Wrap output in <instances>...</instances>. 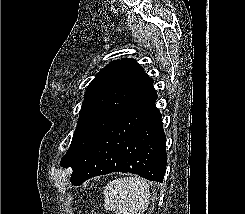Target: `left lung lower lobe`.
<instances>
[{
    "label": "left lung lower lobe",
    "mask_w": 245,
    "mask_h": 214,
    "mask_svg": "<svg viewBox=\"0 0 245 214\" xmlns=\"http://www.w3.org/2000/svg\"><path fill=\"white\" fill-rule=\"evenodd\" d=\"M154 92L110 124L81 154L71 183L112 172H129L162 182L167 165L166 136Z\"/></svg>",
    "instance_id": "1"
}]
</instances>
